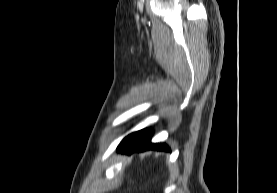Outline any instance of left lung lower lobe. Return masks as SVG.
Returning <instances> with one entry per match:
<instances>
[{"mask_svg": "<svg viewBox=\"0 0 277 193\" xmlns=\"http://www.w3.org/2000/svg\"><path fill=\"white\" fill-rule=\"evenodd\" d=\"M152 131L143 129L126 136L117 147V152L131 154L133 151H144L149 149L168 151L169 147L166 144L150 142Z\"/></svg>", "mask_w": 277, "mask_h": 193, "instance_id": "1", "label": "left lung lower lobe"}]
</instances>
